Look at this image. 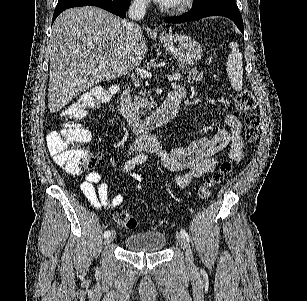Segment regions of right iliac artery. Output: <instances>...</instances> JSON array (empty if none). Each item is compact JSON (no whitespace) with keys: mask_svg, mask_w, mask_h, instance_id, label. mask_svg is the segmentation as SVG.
<instances>
[{"mask_svg":"<svg viewBox=\"0 0 307 301\" xmlns=\"http://www.w3.org/2000/svg\"><path fill=\"white\" fill-rule=\"evenodd\" d=\"M145 160H146V156L145 155H143V154L142 155H138V156L132 158L131 160H129L128 162L125 163L124 170L125 171L131 170L136 165L141 164ZM108 235H110V231L109 230L104 232V237H107Z\"/></svg>","mask_w":307,"mask_h":301,"instance_id":"right-iliac-artery-1","label":"right iliac artery"}]
</instances>
